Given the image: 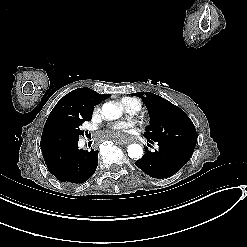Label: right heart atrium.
Masks as SVG:
<instances>
[{
  "instance_id": "obj_1",
  "label": "right heart atrium",
  "mask_w": 247,
  "mask_h": 247,
  "mask_svg": "<svg viewBox=\"0 0 247 247\" xmlns=\"http://www.w3.org/2000/svg\"><path fill=\"white\" fill-rule=\"evenodd\" d=\"M99 113H100V107L99 106L94 107L93 114L98 115Z\"/></svg>"
}]
</instances>
